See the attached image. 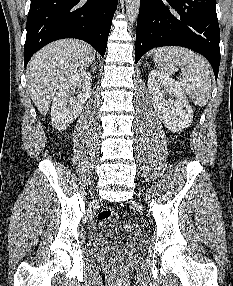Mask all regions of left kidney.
Wrapping results in <instances>:
<instances>
[{"label":"left kidney","mask_w":233,"mask_h":286,"mask_svg":"<svg viewBox=\"0 0 233 286\" xmlns=\"http://www.w3.org/2000/svg\"><path fill=\"white\" fill-rule=\"evenodd\" d=\"M148 90L155 112L172 132L188 128L193 110L179 84L168 75L152 70L148 76ZM166 94L170 97L167 98Z\"/></svg>","instance_id":"obj_1"}]
</instances>
